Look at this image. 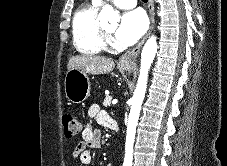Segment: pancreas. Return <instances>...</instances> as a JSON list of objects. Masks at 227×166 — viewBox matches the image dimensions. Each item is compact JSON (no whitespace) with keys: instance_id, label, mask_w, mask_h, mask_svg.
Returning a JSON list of instances; mask_svg holds the SVG:
<instances>
[{"instance_id":"obj_1","label":"pancreas","mask_w":227,"mask_h":166,"mask_svg":"<svg viewBox=\"0 0 227 166\" xmlns=\"http://www.w3.org/2000/svg\"><path fill=\"white\" fill-rule=\"evenodd\" d=\"M111 100H112V97L109 96V95H106V97H105V99H104V101H103V105H104L105 107L110 106V105H111Z\"/></svg>"}]
</instances>
